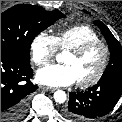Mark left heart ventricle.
<instances>
[{
  "label": "left heart ventricle",
  "instance_id": "1",
  "mask_svg": "<svg viewBox=\"0 0 122 122\" xmlns=\"http://www.w3.org/2000/svg\"><path fill=\"white\" fill-rule=\"evenodd\" d=\"M102 58L103 50L100 47H96L81 57L68 52L64 56L63 62L72 67L77 81H84L91 78L97 72Z\"/></svg>",
  "mask_w": 122,
  "mask_h": 122
}]
</instances>
